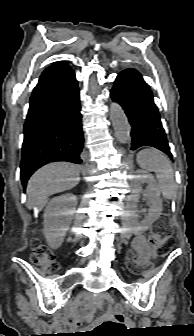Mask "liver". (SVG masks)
<instances>
[{
  "label": "liver",
  "mask_w": 194,
  "mask_h": 336,
  "mask_svg": "<svg viewBox=\"0 0 194 336\" xmlns=\"http://www.w3.org/2000/svg\"><path fill=\"white\" fill-rule=\"evenodd\" d=\"M80 167L67 162L50 163L37 170L27 185L29 209L45 204L49 196L70 190L80 181Z\"/></svg>",
  "instance_id": "obj_1"
}]
</instances>
